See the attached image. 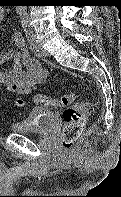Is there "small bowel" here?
<instances>
[{"instance_id": "obj_1", "label": "small bowel", "mask_w": 121, "mask_h": 197, "mask_svg": "<svg viewBox=\"0 0 121 197\" xmlns=\"http://www.w3.org/2000/svg\"><path fill=\"white\" fill-rule=\"evenodd\" d=\"M3 20L4 10L0 7V24ZM12 41L14 49L0 54V84L8 91L30 94L46 81L47 72L38 59L29 55L25 40L20 33H14Z\"/></svg>"}]
</instances>
